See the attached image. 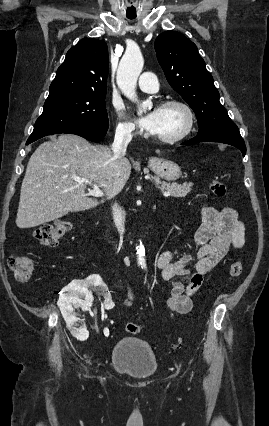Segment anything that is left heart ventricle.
<instances>
[{
  "label": "left heart ventricle",
  "mask_w": 269,
  "mask_h": 426,
  "mask_svg": "<svg viewBox=\"0 0 269 426\" xmlns=\"http://www.w3.org/2000/svg\"><path fill=\"white\" fill-rule=\"evenodd\" d=\"M186 120V114L181 108L175 106L160 107L157 122L150 133L160 137L177 135L185 127Z\"/></svg>",
  "instance_id": "b2bd125f"
}]
</instances>
